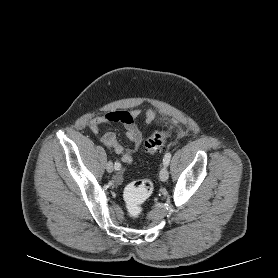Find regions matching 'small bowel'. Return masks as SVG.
Masks as SVG:
<instances>
[{"instance_id":"small-bowel-1","label":"small bowel","mask_w":278,"mask_h":278,"mask_svg":"<svg viewBox=\"0 0 278 278\" xmlns=\"http://www.w3.org/2000/svg\"><path fill=\"white\" fill-rule=\"evenodd\" d=\"M140 109L130 111H112L102 116H97L90 121L89 127L93 133H98L102 125L107 123H121L126 129V138L132 142L133 146L130 149H125L117 140L115 133L106 132L101 137L102 143L113 149L116 154L121 157L122 162L132 163L134 155L138 152L142 143V132L137 125V119L141 116ZM156 118V112L148 109L144 113L146 123H152ZM121 175L116 176V181H121Z\"/></svg>"}]
</instances>
